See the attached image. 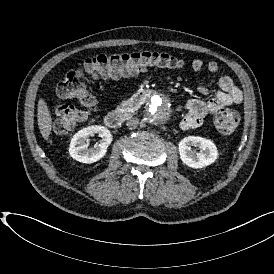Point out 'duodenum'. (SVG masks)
<instances>
[{"label": "duodenum", "instance_id": "duodenum-1", "mask_svg": "<svg viewBox=\"0 0 274 274\" xmlns=\"http://www.w3.org/2000/svg\"><path fill=\"white\" fill-rule=\"evenodd\" d=\"M151 92H144L125 102L122 106L108 112L104 117L105 124L110 128H118L123 122L132 115V110L144 103Z\"/></svg>", "mask_w": 274, "mask_h": 274}]
</instances>
